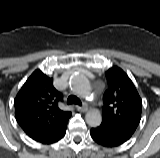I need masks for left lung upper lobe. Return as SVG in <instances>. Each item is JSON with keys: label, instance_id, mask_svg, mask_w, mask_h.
I'll return each mask as SVG.
<instances>
[{"label": "left lung upper lobe", "instance_id": "left-lung-upper-lobe-1", "mask_svg": "<svg viewBox=\"0 0 160 158\" xmlns=\"http://www.w3.org/2000/svg\"><path fill=\"white\" fill-rule=\"evenodd\" d=\"M102 124L132 136L141 119L142 101L127 74L119 67L106 72Z\"/></svg>", "mask_w": 160, "mask_h": 158}]
</instances>
